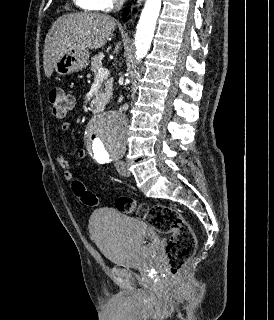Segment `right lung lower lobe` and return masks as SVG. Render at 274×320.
I'll return each mask as SVG.
<instances>
[{
  "label": "right lung lower lobe",
  "mask_w": 274,
  "mask_h": 320,
  "mask_svg": "<svg viewBox=\"0 0 274 320\" xmlns=\"http://www.w3.org/2000/svg\"><path fill=\"white\" fill-rule=\"evenodd\" d=\"M129 12V9H127V11H126V13H125V15H124V17L123 18H125L126 16H127V13ZM125 21V20H124Z\"/></svg>",
  "instance_id": "obj_1"
}]
</instances>
